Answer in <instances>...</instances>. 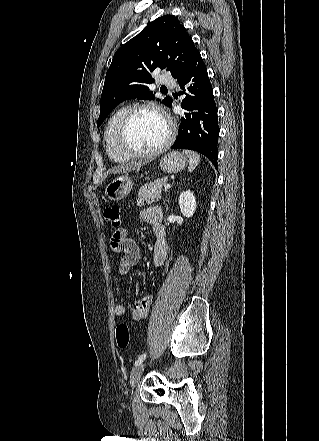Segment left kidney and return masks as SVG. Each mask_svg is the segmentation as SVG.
<instances>
[{"label": "left kidney", "instance_id": "obj_1", "mask_svg": "<svg viewBox=\"0 0 319 441\" xmlns=\"http://www.w3.org/2000/svg\"><path fill=\"white\" fill-rule=\"evenodd\" d=\"M179 206L181 213L185 217H191L193 216L195 210H196V200L195 196L193 195V192L190 190H186L183 193H181L179 197Z\"/></svg>", "mask_w": 319, "mask_h": 441}]
</instances>
